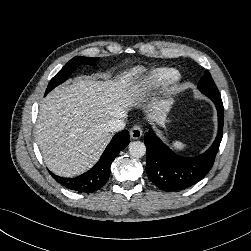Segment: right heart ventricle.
<instances>
[{
    "label": "right heart ventricle",
    "instance_id": "e07e8e85",
    "mask_svg": "<svg viewBox=\"0 0 251 251\" xmlns=\"http://www.w3.org/2000/svg\"><path fill=\"white\" fill-rule=\"evenodd\" d=\"M179 77V72L173 68H157L138 81L132 91L135 96H143L150 91L175 83Z\"/></svg>",
    "mask_w": 251,
    "mask_h": 251
}]
</instances>
